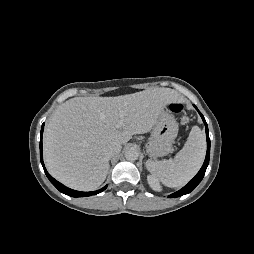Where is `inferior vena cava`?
I'll list each match as a JSON object with an SVG mask.
<instances>
[{"label":"inferior vena cava","mask_w":254,"mask_h":254,"mask_svg":"<svg viewBox=\"0 0 254 254\" xmlns=\"http://www.w3.org/2000/svg\"><path fill=\"white\" fill-rule=\"evenodd\" d=\"M121 145L119 143H112L107 147L106 154L109 158L120 153Z\"/></svg>","instance_id":"1"}]
</instances>
